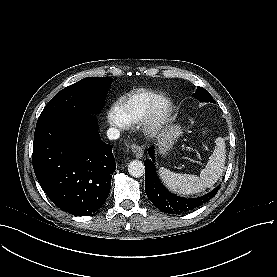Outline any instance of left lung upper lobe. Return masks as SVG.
<instances>
[{
    "label": "left lung upper lobe",
    "mask_w": 277,
    "mask_h": 277,
    "mask_svg": "<svg viewBox=\"0 0 277 277\" xmlns=\"http://www.w3.org/2000/svg\"><path fill=\"white\" fill-rule=\"evenodd\" d=\"M194 97L200 100L201 102L216 103L213 97L210 95V93L202 87L198 88L197 92L194 94Z\"/></svg>",
    "instance_id": "left-lung-upper-lobe-1"
}]
</instances>
